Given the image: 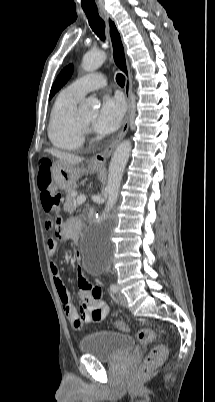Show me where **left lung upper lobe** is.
I'll return each mask as SVG.
<instances>
[{"label":"left lung upper lobe","instance_id":"obj_1","mask_svg":"<svg viewBox=\"0 0 215 402\" xmlns=\"http://www.w3.org/2000/svg\"><path fill=\"white\" fill-rule=\"evenodd\" d=\"M72 73H73L72 64L68 65L60 72L51 88L49 99H51L54 96V94L67 82V80L71 77Z\"/></svg>","mask_w":215,"mask_h":402}]
</instances>
